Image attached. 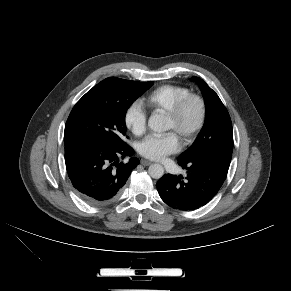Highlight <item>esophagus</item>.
<instances>
[{
	"label": "esophagus",
	"instance_id": "1",
	"mask_svg": "<svg viewBox=\"0 0 291 291\" xmlns=\"http://www.w3.org/2000/svg\"><path fill=\"white\" fill-rule=\"evenodd\" d=\"M140 163H141V165H143V166H149V165L151 164L150 161L145 160V159H142V160L140 161Z\"/></svg>",
	"mask_w": 291,
	"mask_h": 291
}]
</instances>
